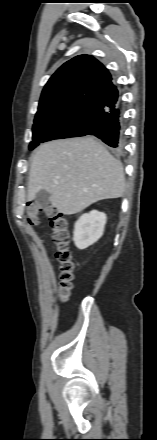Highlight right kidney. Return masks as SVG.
<instances>
[{
  "label": "right kidney",
  "mask_w": 157,
  "mask_h": 440,
  "mask_svg": "<svg viewBox=\"0 0 157 440\" xmlns=\"http://www.w3.org/2000/svg\"><path fill=\"white\" fill-rule=\"evenodd\" d=\"M106 220V214L97 210L83 214L74 226L75 246L83 250L97 242L103 235Z\"/></svg>",
  "instance_id": "right-kidney-1"
}]
</instances>
